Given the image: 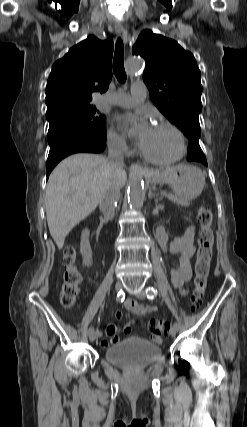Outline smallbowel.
<instances>
[{
    "label": "small bowel",
    "mask_w": 247,
    "mask_h": 427,
    "mask_svg": "<svg viewBox=\"0 0 247 427\" xmlns=\"http://www.w3.org/2000/svg\"><path fill=\"white\" fill-rule=\"evenodd\" d=\"M194 236L195 229L193 226H188L181 236L173 240H169L168 234L163 227H158L156 230V238L162 250L167 255H178L176 263L171 268L170 277L173 286L180 289L182 294L185 293L182 287L191 279L192 276L191 258L195 252ZM124 306L129 312L139 318H143L147 314L153 313L157 310L156 306L143 305L134 300H127ZM122 315L121 311H117L115 313V317L117 319H121ZM132 323L133 321H129L125 324V333L131 332ZM106 334L110 337V341L102 340V346H108L109 343H118L119 337L117 335V328L115 325L110 324L106 329ZM152 340L155 343L161 342L160 337L153 336Z\"/></svg>",
    "instance_id": "obj_1"
}]
</instances>
